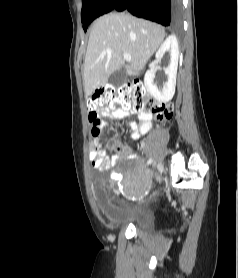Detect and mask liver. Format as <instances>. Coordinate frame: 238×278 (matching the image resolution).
<instances>
[{
    "instance_id": "6515ba94",
    "label": "liver",
    "mask_w": 238,
    "mask_h": 278,
    "mask_svg": "<svg viewBox=\"0 0 238 278\" xmlns=\"http://www.w3.org/2000/svg\"><path fill=\"white\" fill-rule=\"evenodd\" d=\"M166 36L160 25L125 13H109L98 18L91 29L85 61L86 97L108 82L112 73L126 69L131 76L139 73ZM124 53L131 55L125 64Z\"/></svg>"
}]
</instances>
